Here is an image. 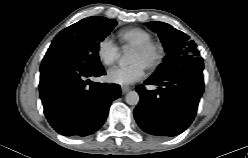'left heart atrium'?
Here are the masks:
<instances>
[{
	"mask_svg": "<svg viewBox=\"0 0 248 158\" xmlns=\"http://www.w3.org/2000/svg\"><path fill=\"white\" fill-rule=\"evenodd\" d=\"M146 67L135 62L126 67H116L107 74V80L110 83L127 85L141 80L145 75Z\"/></svg>",
	"mask_w": 248,
	"mask_h": 158,
	"instance_id": "left-heart-atrium-1",
	"label": "left heart atrium"
}]
</instances>
